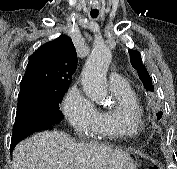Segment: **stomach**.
Returning <instances> with one entry per match:
<instances>
[{"instance_id": "obj_1", "label": "stomach", "mask_w": 177, "mask_h": 169, "mask_svg": "<svg viewBox=\"0 0 177 169\" xmlns=\"http://www.w3.org/2000/svg\"><path fill=\"white\" fill-rule=\"evenodd\" d=\"M141 164H139L136 159L133 158V165H132V168L130 169H141Z\"/></svg>"}]
</instances>
